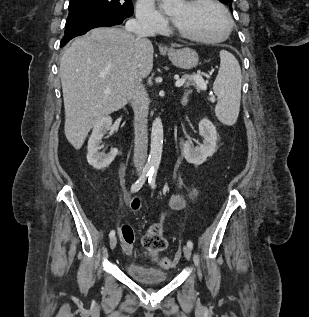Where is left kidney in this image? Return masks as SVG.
<instances>
[{
	"instance_id": "obj_1",
	"label": "left kidney",
	"mask_w": 309,
	"mask_h": 317,
	"mask_svg": "<svg viewBox=\"0 0 309 317\" xmlns=\"http://www.w3.org/2000/svg\"><path fill=\"white\" fill-rule=\"evenodd\" d=\"M199 134L203 137V143L194 147L192 142L183 144L182 152L188 163L199 166L207 157L212 156L216 150L217 131L213 123L208 119H202L199 123Z\"/></svg>"
}]
</instances>
